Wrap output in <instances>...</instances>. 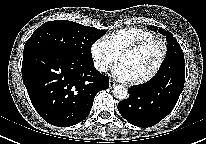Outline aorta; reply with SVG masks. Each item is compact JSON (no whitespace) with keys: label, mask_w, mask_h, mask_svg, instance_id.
Masks as SVG:
<instances>
[{"label":"aorta","mask_w":206,"mask_h":144,"mask_svg":"<svg viewBox=\"0 0 206 144\" xmlns=\"http://www.w3.org/2000/svg\"><path fill=\"white\" fill-rule=\"evenodd\" d=\"M113 95L116 99L124 100L128 97L129 94H128L127 89L124 86L118 85L114 87Z\"/></svg>","instance_id":"aorta-1"}]
</instances>
